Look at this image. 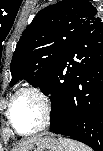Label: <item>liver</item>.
I'll return each instance as SVG.
<instances>
[{
  "label": "liver",
  "mask_w": 103,
  "mask_h": 151,
  "mask_svg": "<svg viewBox=\"0 0 103 151\" xmlns=\"http://www.w3.org/2000/svg\"><path fill=\"white\" fill-rule=\"evenodd\" d=\"M34 139L35 138H32L26 142L21 143L17 148H15L14 151H25L28 148L30 142H32Z\"/></svg>",
  "instance_id": "liver-1"
}]
</instances>
